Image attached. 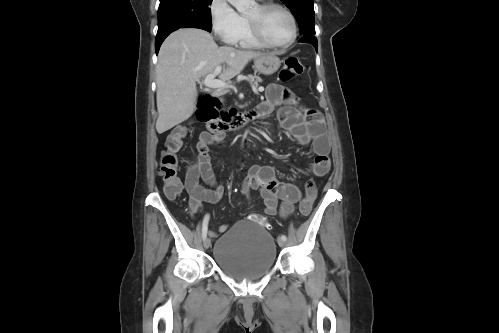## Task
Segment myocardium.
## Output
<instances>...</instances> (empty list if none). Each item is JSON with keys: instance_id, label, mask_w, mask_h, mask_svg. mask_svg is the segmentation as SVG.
<instances>
[{"instance_id": "f54148a6", "label": "myocardium", "mask_w": 499, "mask_h": 333, "mask_svg": "<svg viewBox=\"0 0 499 333\" xmlns=\"http://www.w3.org/2000/svg\"><path fill=\"white\" fill-rule=\"evenodd\" d=\"M257 6L261 12H265V11H268V10L273 9V8H277V9L282 10L290 19L291 26H292V33H291V37L286 42L280 43V44L272 43L264 35L258 20L246 17L247 23L249 25V28H250V31H251V34L253 35V37L259 43H261L263 46L268 47V48L285 49V48L290 47L296 41V38L298 35V27H297L296 18L294 16V14L292 13V11L288 7H286L285 5L278 3V2H274V1H265L263 3L258 4Z\"/></svg>"}]
</instances>
